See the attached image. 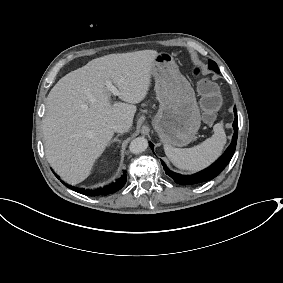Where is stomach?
I'll return each instance as SVG.
<instances>
[{
	"label": "stomach",
	"instance_id": "0dacf381",
	"mask_svg": "<svg viewBox=\"0 0 283 283\" xmlns=\"http://www.w3.org/2000/svg\"><path fill=\"white\" fill-rule=\"evenodd\" d=\"M152 74L160 107L151 124L166 145L185 146L193 140L201 123L194 90L168 54L157 56Z\"/></svg>",
	"mask_w": 283,
	"mask_h": 283
}]
</instances>
